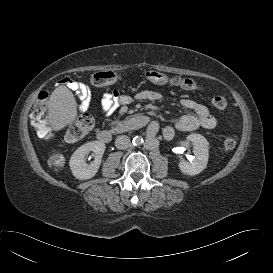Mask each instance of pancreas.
<instances>
[{
  "label": "pancreas",
  "instance_id": "pancreas-1",
  "mask_svg": "<svg viewBox=\"0 0 273 273\" xmlns=\"http://www.w3.org/2000/svg\"><path fill=\"white\" fill-rule=\"evenodd\" d=\"M120 124V121L119 120H115V121H113V122H111V128L113 129V130H115V127L117 126V125H119Z\"/></svg>",
  "mask_w": 273,
  "mask_h": 273
}]
</instances>
